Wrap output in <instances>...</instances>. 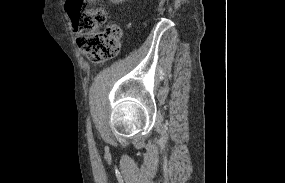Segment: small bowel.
Masks as SVG:
<instances>
[{
  "mask_svg": "<svg viewBox=\"0 0 285 183\" xmlns=\"http://www.w3.org/2000/svg\"><path fill=\"white\" fill-rule=\"evenodd\" d=\"M96 0H88V2L90 3H94Z\"/></svg>",
  "mask_w": 285,
  "mask_h": 183,
  "instance_id": "1",
  "label": "small bowel"
}]
</instances>
